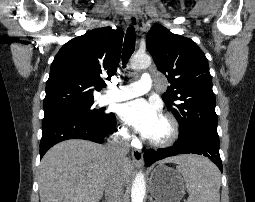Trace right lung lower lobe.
<instances>
[{
	"mask_svg": "<svg viewBox=\"0 0 255 202\" xmlns=\"http://www.w3.org/2000/svg\"><path fill=\"white\" fill-rule=\"evenodd\" d=\"M110 119L104 124H96L79 116L47 117L42 122L40 158L53 145L67 139H85L103 143L104 137L116 131V117L110 113Z\"/></svg>",
	"mask_w": 255,
	"mask_h": 202,
	"instance_id": "obj_1",
	"label": "right lung lower lobe"
}]
</instances>
